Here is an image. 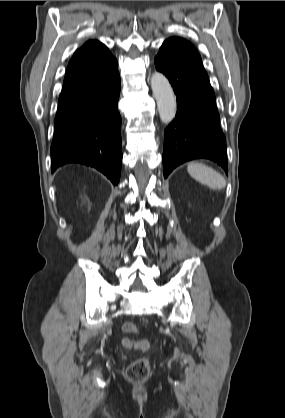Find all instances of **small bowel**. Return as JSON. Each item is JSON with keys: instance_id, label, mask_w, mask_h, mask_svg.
Segmentation results:
<instances>
[{"instance_id": "1", "label": "small bowel", "mask_w": 285, "mask_h": 418, "mask_svg": "<svg viewBox=\"0 0 285 418\" xmlns=\"http://www.w3.org/2000/svg\"><path fill=\"white\" fill-rule=\"evenodd\" d=\"M126 339V338H125ZM124 340V339H123ZM123 340H122V344H123ZM123 346L125 347V348H127V349H130V348H133V349H135V350H141L140 349V341H137V342H131L130 341V343L128 344V345H124L123 344Z\"/></svg>"}]
</instances>
